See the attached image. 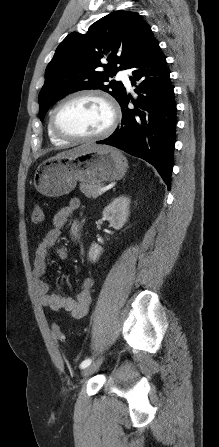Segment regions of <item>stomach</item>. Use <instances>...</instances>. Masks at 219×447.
Returning a JSON list of instances; mask_svg holds the SVG:
<instances>
[{
	"label": "stomach",
	"mask_w": 219,
	"mask_h": 447,
	"mask_svg": "<svg viewBox=\"0 0 219 447\" xmlns=\"http://www.w3.org/2000/svg\"><path fill=\"white\" fill-rule=\"evenodd\" d=\"M128 164L126 157L109 146L92 147L74 157H50L34 175V186L42 195L58 197L70 193L77 181L101 183L121 179Z\"/></svg>",
	"instance_id": "1"
}]
</instances>
